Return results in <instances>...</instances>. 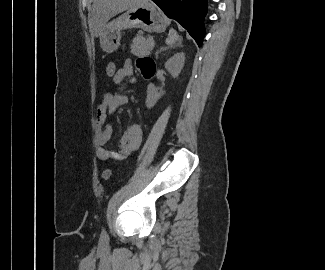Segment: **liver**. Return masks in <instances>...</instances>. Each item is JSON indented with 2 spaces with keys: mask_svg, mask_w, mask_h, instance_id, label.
I'll return each mask as SVG.
<instances>
[{
  "mask_svg": "<svg viewBox=\"0 0 325 270\" xmlns=\"http://www.w3.org/2000/svg\"><path fill=\"white\" fill-rule=\"evenodd\" d=\"M148 0H94L91 26L95 37H100L104 26L116 14Z\"/></svg>",
  "mask_w": 325,
  "mask_h": 270,
  "instance_id": "liver-1",
  "label": "liver"
}]
</instances>
